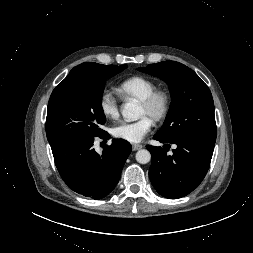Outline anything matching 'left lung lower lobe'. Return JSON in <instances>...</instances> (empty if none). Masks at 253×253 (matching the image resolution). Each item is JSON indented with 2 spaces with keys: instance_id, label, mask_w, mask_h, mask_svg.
I'll use <instances>...</instances> for the list:
<instances>
[{
  "instance_id": "0a47b994",
  "label": "left lung lower lobe",
  "mask_w": 253,
  "mask_h": 253,
  "mask_svg": "<svg viewBox=\"0 0 253 253\" xmlns=\"http://www.w3.org/2000/svg\"><path fill=\"white\" fill-rule=\"evenodd\" d=\"M153 138L161 143L177 145L172 155H167L161 147L146 146L152 155L149 178L153 187L160 195L169 199L188 195L204 179L215 143L194 137L172 141L157 135Z\"/></svg>"
}]
</instances>
